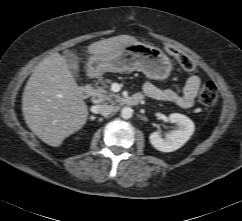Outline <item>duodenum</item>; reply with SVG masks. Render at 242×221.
<instances>
[{"label":"duodenum","instance_id":"duodenum-1","mask_svg":"<svg viewBox=\"0 0 242 221\" xmlns=\"http://www.w3.org/2000/svg\"><path fill=\"white\" fill-rule=\"evenodd\" d=\"M78 93L81 98L86 99L89 97L91 91L88 86H82L79 88ZM140 101H141V98L138 96H129L124 99V103L129 106H135V105L139 104Z\"/></svg>","mask_w":242,"mask_h":221}]
</instances>
